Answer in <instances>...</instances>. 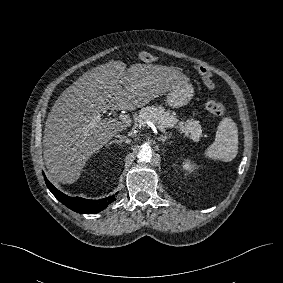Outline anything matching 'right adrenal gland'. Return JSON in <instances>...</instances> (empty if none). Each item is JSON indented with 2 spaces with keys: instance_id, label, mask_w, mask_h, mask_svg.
I'll return each mask as SVG.
<instances>
[{
  "instance_id": "1",
  "label": "right adrenal gland",
  "mask_w": 283,
  "mask_h": 283,
  "mask_svg": "<svg viewBox=\"0 0 283 283\" xmlns=\"http://www.w3.org/2000/svg\"><path fill=\"white\" fill-rule=\"evenodd\" d=\"M113 143H117V144H121L122 141L121 140H113V141H110L109 144H113Z\"/></svg>"
}]
</instances>
